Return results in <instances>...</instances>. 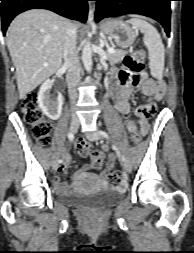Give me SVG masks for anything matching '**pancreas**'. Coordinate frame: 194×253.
Masks as SVG:
<instances>
[{
    "label": "pancreas",
    "mask_w": 194,
    "mask_h": 253,
    "mask_svg": "<svg viewBox=\"0 0 194 253\" xmlns=\"http://www.w3.org/2000/svg\"><path fill=\"white\" fill-rule=\"evenodd\" d=\"M126 52L122 50H115V53H108V59L111 64L119 63L125 57Z\"/></svg>",
    "instance_id": "cf45deb5"
}]
</instances>
